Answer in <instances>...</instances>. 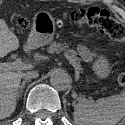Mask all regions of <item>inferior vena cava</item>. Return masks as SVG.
Returning <instances> with one entry per match:
<instances>
[{
    "label": "inferior vena cava",
    "instance_id": "1",
    "mask_svg": "<svg viewBox=\"0 0 125 125\" xmlns=\"http://www.w3.org/2000/svg\"><path fill=\"white\" fill-rule=\"evenodd\" d=\"M38 76H39V73H38V71H35V70L28 71V72L23 74V78H25L26 80L37 78Z\"/></svg>",
    "mask_w": 125,
    "mask_h": 125
}]
</instances>
